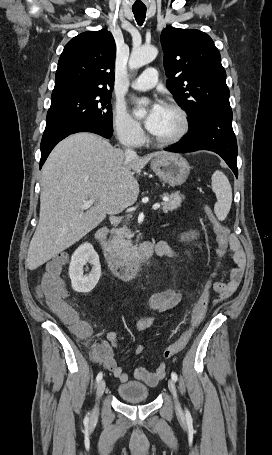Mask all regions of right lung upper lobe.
<instances>
[{
	"label": "right lung upper lobe",
	"instance_id": "cb5924a9",
	"mask_svg": "<svg viewBox=\"0 0 272 455\" xmlns=\"http://www.w3.org/2000/svg\"><path fill=\"white\" fill-rule=\"evenodd\" d=\"M116 46L102 29L71 39L59 58L51 101L70 96L111 94Z\"/></svg>",
	"mask_w": 272,
	"mask_h": 455
}]
</instances>
